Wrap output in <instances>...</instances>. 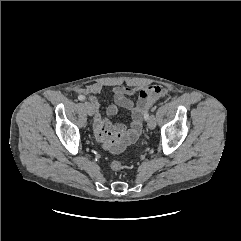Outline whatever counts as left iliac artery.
Here are the masks:
<instances>
[{"mask_svg":"<svg viewBox=\"0 0 241 241\" xmlns=\"http://www.w3.org/2000/svg\"><path fill=\"white\" fill-rule=\"evenodd\" d=\"M144 118H145V120L149 119V114L147 112L145 113Z\"/></svg>","mask_w":241,"mask_h":241,"instance_id":"left-iliac-artery-1","label":"left iliac artery"}]
</instances>
